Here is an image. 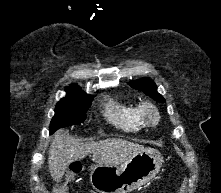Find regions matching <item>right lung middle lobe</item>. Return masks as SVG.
<instances>
[{"label": "right lung middle lobe", "instance_id": "1", "mask_svg": "<svg viewBox=\"0 0 221 193\" xmlns=\"http://www.w3.org/2000/svg\"><path fill=\"white\" fill-rule=\"evenodd\" d=\"M66 97L62 98L55 107V116L50 123V132L61 127L71 126L83 122L86 111L91 105L92 98L76 89H67Z\"/></svg>", "mask_w": 221, "mask_h": 193}]
</instances>
